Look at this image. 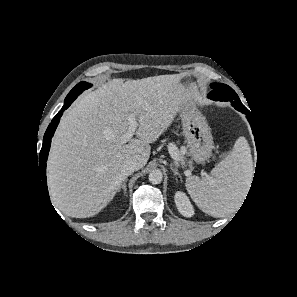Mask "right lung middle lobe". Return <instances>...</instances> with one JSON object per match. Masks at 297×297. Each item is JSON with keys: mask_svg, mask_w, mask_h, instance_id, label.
Wrapping results in <instances>:
<instances>
[{"mask_svg": "<svg viewBox=\"0 0 297 297\" xmlns=\"http://www.w3.org/2000/svg\"><path fill=\"white\" fill-rule=\"evenodd\" d=\"M90 86L91 84L87 82L78 83L66 96L64 104H67V103L71 104L82 91H84L85 89H88Z\"/></svg>", "mask_w": 297, "mask_h": 297, "instance_id": "1", "label": "right lung middle lobe"}]
</instances>
